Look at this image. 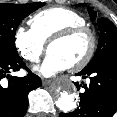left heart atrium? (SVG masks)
I'll return each instance as SVG.
<instances>
[{
	"instance_id": "left-heart-atrium-1",
	"label": "left heart atrium",
	"mask_w": 117,
	"mask_h": 117,
	"mask_svg": "<svg viewBox=\"0 0 117 117\" xmlns=\"http://www.w3.org/2000/svg\"><path fill=\"white\" fill-rule=\"evenodd\" d=\"M69 67V64L62 58L49 53L43 63L39 65L36 70L45 77H52L67 70Z\"/></svg>"
}]
</instances>
